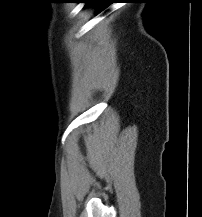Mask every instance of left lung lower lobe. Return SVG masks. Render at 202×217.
<instances>
[{
    "label": "left lung lower lobe",
    "mask_w": 202,
    "mask_h": 217,
    "mask_svg": "<svg viewBox=\"0 0 202 217\" xmlns=\"http://www.w3.org/2000/svg\"><path fill=\"white\" fill-rule=\"evenodd\" d=\"M87 5L91 4H99L102 5L103 7L100 8L99 12L103 11L106 7H108L110 4L114 3V0H85L83 1Z\"/></svg>",
    "instance_id": "1"
}]
</instances>
